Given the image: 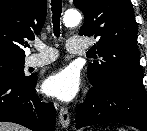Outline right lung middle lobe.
Returning <instances> with one entry per match:
<instances>
[{
  "mask_svg": "<svg viewBox=\"0 0 147 131\" xmlns=\"http://www.w3.org/2000/svg\"><path fill=\"white\" fill-rule=\"evenodd\" d=\"M24 59L0 57V80L19 81L28 79L24 74Z\"/></svg>",
  "mask_w": 147,
  "mask_h": 131,
  "instance_id": "obj_1",
  "label": "right lung middle lobe"
}]
</instances>
